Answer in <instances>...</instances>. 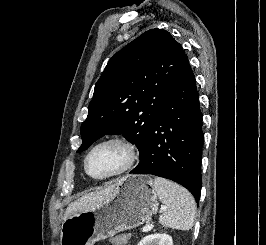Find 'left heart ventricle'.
Listing matches in <instances>:
<instances>
[{
	"instance_id": "b2bd125f",
	"label": "left heart ventricle",
	"mask_w": 266,
	"mask_h": 245,
	"mask_svg": "<svg viewBox=\"0 0 266 245\" xmlns=\"http://www.w3.org/2000/svg\"><path fill=\"white\" fill-rule=\"evenodd\" d=\"M127 158V151L123 145L106 143L91 153L87 161V170L96 177L110 176L124 168Z\"/></svg>"
}]
</instances>
